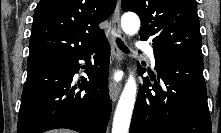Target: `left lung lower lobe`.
Instances as JSON below:
<instances>
[{"label":"left lung lower lobe","instance_id":"left-lung-lower-lobe-1","mask_svg":"<svg viewBox=\"0 0 221 133\" xmlns=\"http://www.w3.org/2000/svg\"><path fill=\"white\" fill-rule=\"evenodd\" d=\"M154 56L161 85L155 79L149 89V78H144L130 133H211L203 60L158 49ZM138 69L144 74V68Z\"/></svg>","mask_w":221,"mask_h":133}]
</instances>
